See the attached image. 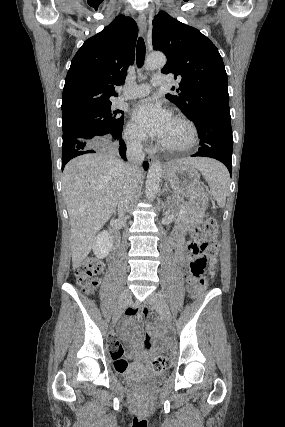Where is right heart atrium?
Listing matches in <instances>:
<instances>
[{"mask_svg": "<svg viewBox=\"0 0 285 427\" xmlns=\"http://www.w3.org/2000/svg\"><path fill=\"white\" fill-rule=\"evenodd\" d=\"M125 135L127 140L134 146H141L147 140L146 133L134 122L127 124Z\"/></svg>", "mask_w": 285, "mask_h": 427, "instance_id": "right-heart-atrium-1", "label": "right heart atrium"}]
</instances>
